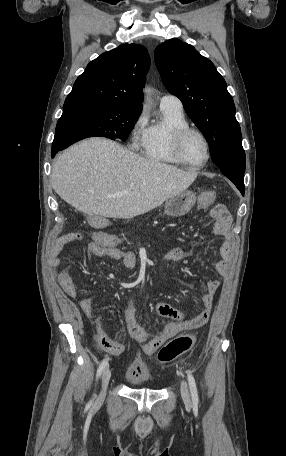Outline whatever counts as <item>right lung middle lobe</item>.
I'll use <instances>...</instances> for the list:
<instances>
[{
  "label": "right lung middle lobe",
  "mask_w": 286,
  "mask_h": 456,
  "mask_svg": "<svg viewBox=\"0 0 286 456\" xmlns=\"http://www.w3.org/2000/svg\"><path fill=\"white\" fill-rule=\"evenodd\" d=\"M142 109L90 99L65 100L53 145L61 150L87 137L125 141Z\"/></svg>",
  "instance_id": "dd1d6c3e"
}]
</instances>
